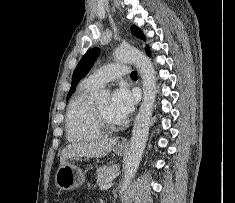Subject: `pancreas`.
Here are the masks:
<instances>
[{
    "label": "pancreas",
    "mask_w": 235,
    "mask_h": 203,
    "mask_svg": "<svg viewBox=\"0 0 235 203\" xmlns=\"http://www.w3.org/2000/svg\"><path fill=\"white\" fill-rule=\"evenodd\" d=\"M119 170V166H103L97 169V184L98 186H102L106 183H109L117 171Z\"/></svg>",
    "instance_id": "obj_1"
}]
</instances>
